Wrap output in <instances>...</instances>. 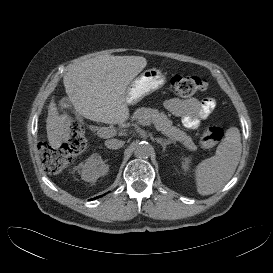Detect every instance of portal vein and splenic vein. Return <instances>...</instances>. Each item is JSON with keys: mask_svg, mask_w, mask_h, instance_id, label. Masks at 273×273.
Listing matches in <instances>:
<instances>
[{"mask_svg": "<svg viewBox=\"0 0 273 273\" xmlns=\"http://www.w3.org/2000/svg\"><path fill=\"white\" fill-rule=\"evenodd\" d=\"M138 122H139V124L144 125V126H151V123L148 121L140 120ZM97 133L100 137L106 138V137H110V136L114 135L116 133V131L112 128L102 127L98 130Z\"/></svg>", "mask_w": 273, "mask_h": 273, "instance_id": "18ae733b", "label": "portal vein and splenic vein"}]
</instances>
